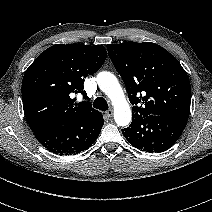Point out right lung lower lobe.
<instances>
[{"label":"right lung lower lobe","instance_id":"right-lung-lower-lobe-1","mask_svg":"<svg viewBox=\"0 0 212 212\" xmlns=\"http://www.w3.org/2000/svg\"><path fill=\"white\" fill-rule=\"evenodd\" d=\"M103 116L93 120L78 119L67 124H51L34 132L38 141L50 152L75 155L88 149L100 134Z\"/></svg>","mask_w":212,"mask_h":212}]
</instances>
